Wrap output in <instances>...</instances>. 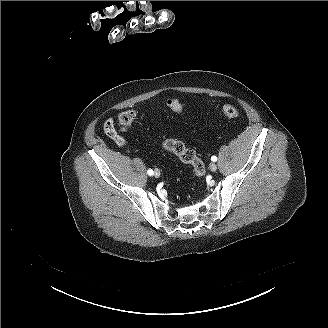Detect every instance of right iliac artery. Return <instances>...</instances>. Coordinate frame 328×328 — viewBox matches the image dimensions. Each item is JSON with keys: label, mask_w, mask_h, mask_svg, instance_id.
Returning a JSON list of instances; mask_svg holds the SVG:
<instances>
[{"label": "right iliac artery", "mask_w": 328, "mask_h": 328, "mask_svg": "<svg viewBox=\"0 0 328 328\" xmlns=\"http://www.w3.org/2000/svg\"><path fill=\"white\" fill-rule=\"evenodd\" d=\"M147 173H148V175H150V176H152V175L154 174V172H153L152 169H149V170L147 171Z\"/></svg>", "instance_id": "1"}]
</instances>
